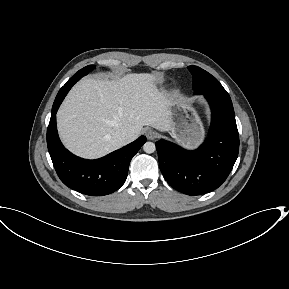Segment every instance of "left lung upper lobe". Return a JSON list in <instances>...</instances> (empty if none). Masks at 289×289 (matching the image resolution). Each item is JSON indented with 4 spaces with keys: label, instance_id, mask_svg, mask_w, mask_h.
<instances>
[{
    "label": "left lung upper lobe",
    "instance_id": "5c2ea615",
    "mask_svg": "<svg viewBox=\"0 0 289 289\" xmlns=\"http://www.w3.org/2000/svg\"><path fill=\"white\" fill-rule=\"evenodd\" d=\"M193 75V90L195 94H211L230 97L219 81L207 71L197 66H188Z\"/></svg>",
    "mask_w": 289,
    "mask_h": 289
}]
</instances>
